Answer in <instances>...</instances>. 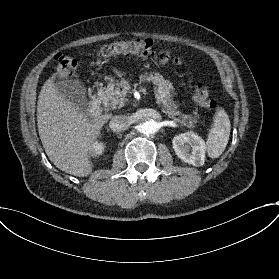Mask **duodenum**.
I'll use <instances>...</instances> for the list:
<instances>
[{
  "instance_id": "duodenum-1",
  "label": "duodenum",
  "mask_w": 279,
  "mask_h": 279,
  "mask_svg": "<svg viewBox=\"0 0 279 279\" xmlns=\"http://www.w3.org/2000/svg\"><path fill=\"white\" fill-rule=\"evenodd\" d=\"M89 114L92 116H98L101 114V104L100 101L96 98H93L90 101L89 108H88Z\"/></svg>"
}]
</instances>
